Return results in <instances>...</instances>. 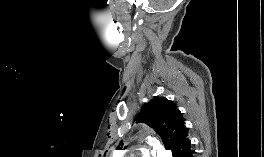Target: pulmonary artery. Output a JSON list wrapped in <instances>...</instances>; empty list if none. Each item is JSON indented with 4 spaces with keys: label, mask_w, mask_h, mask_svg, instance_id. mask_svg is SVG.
I'll use <instances>...</instances> for the list:
<instances>
[{
    "label": "pulmonary artery",
    "mask_w": 264,
    "mask_h": 157,
    "mask_svg": "<svg viewBox=\"0 0 264 157\" xmlns=\"http://www.w3.org/2000/svg\"><path fill=\"white\" fill-rule=\"evenodd\" d=\"M143 157H151L150 154L148 152H145Z\"/></svg>",
    "instance_id": "pulmonary-artery-1"
}]
</instances>
